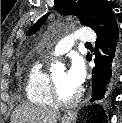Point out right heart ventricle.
Returning <instances> with one entry per match:
<instances>
[{
	"label": "right heart ventricle",
	"mask_w": 122,
	"mask_h": 123,
	"mask_svg": "<svg viewBox=\"0 0 122 123\" xmlns=\"http://www.w3.org/2000/svg\"><path fill=\"white\" fill-rule=\"evenodd\" d=\"M50 75L44 68L42 61L36 62L29 70L25 93L27 99L38 106H50L54 102L50 96Z\"/></svg>",
	"instance_id": "right-heart-ventricle-1"
}]
</instances>
